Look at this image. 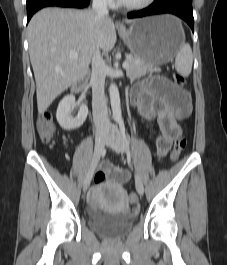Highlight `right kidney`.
I'll return each instance as SVG.
<instances>
[{"label":"right kidney","mask_w":227,"mask_h":265,"mask_svg":"<svg viewBox=\"0 0 227 265\" xmlns=\"http://www.w3.org/2000/svg\"><path fill=\"white\" fill-rule=\"evenodd\" d=\"M75 104L73 95L65 96L59 103L56 118L60 126L65 130H74L79 128L87 118L88 107L81 105L76 117L71 116V110Z\"/></svg>","instance_id":"1"}]
</instances>
